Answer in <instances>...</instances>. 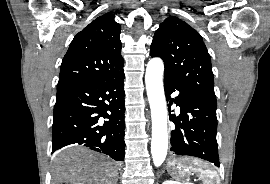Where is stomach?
Returning <instances> with one entry per match:
<instances>
[{
	"label": "stomach",
	"mask_w": 270,
	"mask_h": 184,
	"mask_svg": "<svg viewBox=\"0 0 270 184\" xmlns=\"http://www.w3.org/2000/svg\"><path fill=\"white\" fill-rule=\"evenodd\" d=\"M182 159H174L168 163V173L179 180H184L185 177L182 175V172L185 171V167L182 165Z\"/></svg>",
	"instance_id": "obj_1"
}]
</instances>
